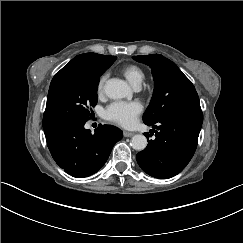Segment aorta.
Listing matches in <instances>:
<instances>
[{
    "instance_id": "obj_1",
    "label": "aorta",
    "mask_w": 243,
    "mask_h": 243,
    "mask_svg": "<svg viewBox=\"0 0 243 243\" xmlns=\"http://www.w3.org/2000/svg\"><path fill=\"white\" fill-rule=\"evenodd\" d=\"M104 91L107 97L111 99H121L125 97H132V88L127 82L121 79H109L105 86ZM131 146L137 151H142L147 146V138L142 134H136L131 139Z\"/></svg>"
}]
</instances>
